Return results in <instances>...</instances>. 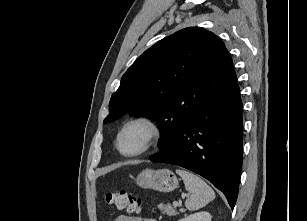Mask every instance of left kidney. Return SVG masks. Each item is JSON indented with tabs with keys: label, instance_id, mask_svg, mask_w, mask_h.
Masks as SVG:
<instances>
[{
	"label": "left kidney",
	"instance_id": "left-kidney-1",
	"mask_svg": "<svg viewBox=\"0 0 307 221\" xmlns=\"http://www.w3.org/2000/svg\"><path fill=\"white\" fill-rule=\"evenodd\" d=\"M211 214L209 212H197L186 216L178 221H211Z\"/></svg>",
	"mask_w": 307,
	"mask_h": 221
}]
</instances>
